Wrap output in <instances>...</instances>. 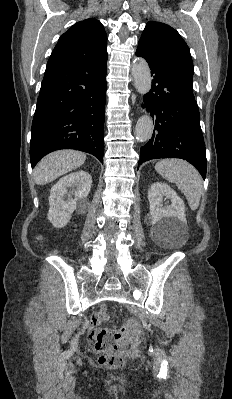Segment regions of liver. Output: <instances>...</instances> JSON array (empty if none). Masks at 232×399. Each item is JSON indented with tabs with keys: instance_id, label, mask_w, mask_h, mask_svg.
<instances>
[{
	"instance_id": "1",
	"label": "liver",
	"mask_w": 232,
	"mask_h": 399,
	"mask_svg": "<svg viewBox=\"0 0 232 399\" xmlns=\"http://www.w3.org/2000/svg\"><path fill=\"white\" fill-rule=\"evenodd\" d=\"M86 160V154L75 152V150H59L45 156L39 162L33 176L36 184L45 186L53 182L59 176H64L72 170H77Z\"/></svg>"
}]
</instances>
